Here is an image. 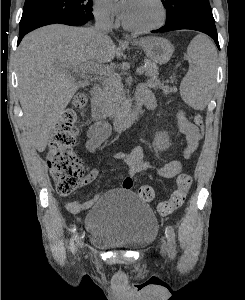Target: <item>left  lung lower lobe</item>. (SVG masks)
I'll return each mask as SVG.
<instances>
[{"label": "left lung lower lobe", "instance_id": "0a47b994", "mask_svg": "<svg viewBox=\"0 0 245 300\" xmlns=\"http://www.w3.org/2000/svg\"><path fill=\"white\" fill-rule=\"evenodd\" d=\"M180 29H191L203 32L209 35L216 43L217 47H219L217 30L215 27V21H209L207 19L194 17V16H182L178 20L165 24L164 27L154 30L152 32H167L173 30H180Z\"/></svg>", "mask_w": 245, "mask_h": 300}]
</instances>
